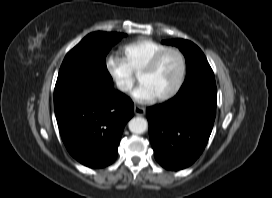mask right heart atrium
Here are the masks:
<instances>
[{
    "label": "right heart atrium",
    "mask_w": 272,
    "mask_h": 198,
    "mask_svg": "<svg viewBox=\"0 0 272 198\" xmlns=\"http://www.w3.org/2000/svg\"><path fill=\"white\" fill-rule=\"evenodd\" d=\"M104 65L117 90L122 94H128L134 85L135 75L127 62L119 56L108 55Z\"/></svg>",
    "instance_id": "obj_1"
}]
</instances>
